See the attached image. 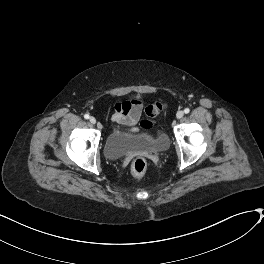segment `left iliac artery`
Instances as JSON below:
<instances>
[{"instance_id": "44dca946", "label": "left iliac artery", "mask_w": 264, "mask_h": 264, "mask_svg": "<svg viewBox=\"0 0 264 264\" xmlns=\"http://www.w3.org/2000/svg\"><path fill=\"white\" fill-rule=\"evenodd\" d=\"M189 111H190L189 108H185V109H184V112H185L186 114L189 113Z\"/></svg>"}]
</instances>
